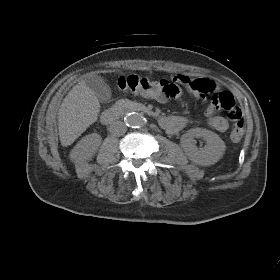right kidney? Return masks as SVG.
<instances>
[{
  "instance_id": "right-kidney-1",
  "label": "right kidney",
  "mask_w": 280,
  "mask_h": 280,
  "mask_svg": "<svg viewBox=\"0 0 280 280\" xmlns=\"http://www.w3.org/2000/svg\"><path fill=\"white\" fill-rule=\"evenodd\" d=\"M100 144L101 136L99 134L93 133L83 137L74 148V151L83 159H90L95 155Z\"/></svg>"
}]
</instances>
